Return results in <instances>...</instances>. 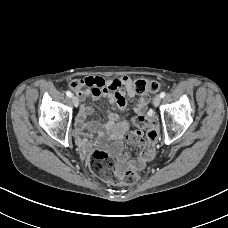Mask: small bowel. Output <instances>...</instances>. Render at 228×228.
Here are the masks:
<instances>
[{
    "label": "small bowel",
    "instance_id": "small-bowel-1",
    "mask_svg": "<svg viewBox=\"0 0 228 228\" xmlns=\"http://www.w3.org/2000/svg\"><path fill=\"white\" fill-rule=\"evenodd\" d=\"M79 82L80 87L76 89V93L82 101L88 97H91L94 101L104 98L110 106V111L106 115L104 122L99 124L96 122H86V116L90 113L91 109L83 104L81 105L75 124L80 146L82 148L89 146V141L85 137V131H89L98 133L101 144H106L109 139L119 141L125 137L128 143L138 144L140 148L144 149L146 140L143 138V130H129L125 118V113L128 110L127 99L134 100L137 94L134 82L126 76L115 79L88 76L79 80ZM148 103L149 96L147 94L141 95L138 98L133 109L136 116L144 115ZM116 110L120 111V114H117ZM109 149L116 156L121 168L130 166L142 169L145 166V161L142 160L129 163L128 155L123 151L120 142H115Z\"/></svg>",
    "mask_w": 228,
    "mask_h": 228
}]
</instances>
